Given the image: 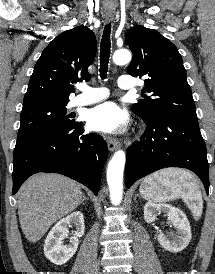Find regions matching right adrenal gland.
Returning <instances> with one entry per match:
<instances>
[{
  "label": "right adrenal gland",
  "mask_w": 215,
  "mask_h": 274,
  "mask_svg": "<svg viewBox=\"0 0 215 274\" xmlns=\"http://www.w3.org/2000/svg\"><path fill=\"white\" fill-rule=\"evenodd\" d=\"M85 200H88V198L85 197V195L83 196V200L81 203H83Z\"/></svg>",
  "instance_id": "obj_1"
}]
</instances>
